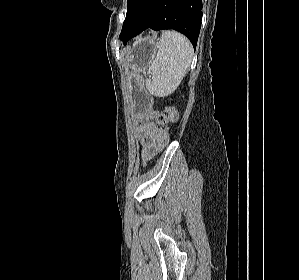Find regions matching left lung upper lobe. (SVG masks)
<instances>
[{
    "label": "left lung upper lobe",
    "instance_id": "5c2ea615",
    "mask_svg": "<svg viewBox=\"0 0 299 280\" xmlns=\"http://www.w3.org/2000/svg\"><path fill=\"white\" fill-rule=\"evenodd\" d=\"M133 0H127V14H126V18H127V16H128V14H129V11H130V5H131V2H132ZM125 21H126V19H125ZM125 21H124V23H123V27H124V24H125ZM122 30H123V28H122ZM122 32V31H121ZM120 37V36H119Z\"/></svg>",
    "mask_w": 299,
    "mask_h": 280
}]
</instances>
